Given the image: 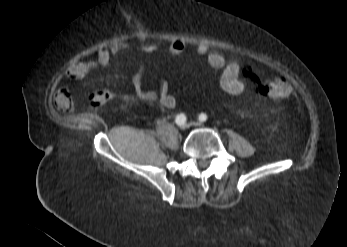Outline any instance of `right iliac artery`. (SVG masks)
<instances>
[{
  "instance_id": "obj_1",
  "label": "right iliac artery",
  "mask_w": 347,
  "mask_h": 247,
  "mask_svg": "<svg viewBox=\"0 0 347 247\" xmlns=\"http://www.w3.org/2000/svg\"><path fill=\"white\" fill-rule=\"evenodd\" d=\"M186 115L181 113V114H178L175 118V122L177 123V125H183L184 123H186Z\"/></svg>"
}]
</instances>
